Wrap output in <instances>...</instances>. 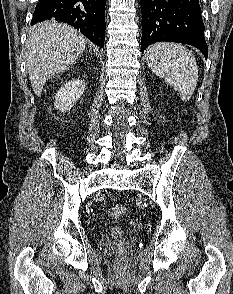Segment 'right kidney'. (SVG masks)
<instances>
[{
	"instance_id": "ca27d5eb",
	"label": "right kidney",
	"mask_w": 233,
	"mask_h": 294,
	"mask_svg": "<svg viewBox=\"0 0 233 294\" xmlns=\"http://www.w3.org/2000/svg\"><path fill=\"white\" fill-rule=\"evenodd\" d=\"M85 89V81L77 79L64 84L55 96L54 106L60 111H68L82 96Z\"/></svg>"
}]
</instances>
